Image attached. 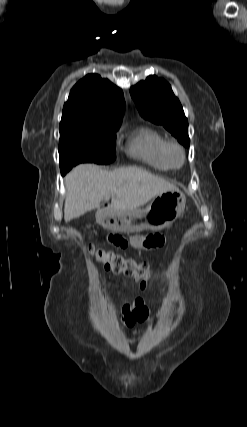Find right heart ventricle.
Returning <instances> with one entry per match:
<instances>
[{
	"mask_svg": "<svg viewBox=\"0 0 247 427\" xmlns=\"http://www.w3.org/2000/svg\"><path fill=\"white\" fill-rule=\"evenodd\" d=\"M168 140L157 130L143 126L131 135L127 153L144 164L159 170L168 171L173 166L166 154Z\"/></svg>",
	"mask_w": 247,
	"mask_h": 427,
	"instance_id": "1",
	"label": "right heart ventricle"
}]
</instances>
